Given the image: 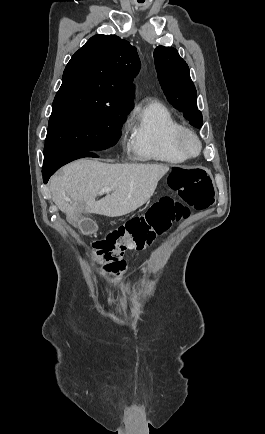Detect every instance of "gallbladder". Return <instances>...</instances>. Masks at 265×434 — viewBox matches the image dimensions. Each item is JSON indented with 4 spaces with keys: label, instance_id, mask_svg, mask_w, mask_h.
<instances>
[{
    "label": "gallbladder",
    "instance_id": "1",
    "mask_svg": "<svg viewBox=\"0 0 265 434\" xmlns=\"http://www.w3.org/2000/svg\"><path fill=\"white\" fill-rule=\"evenodd\" d=\"M79 229L82 232H90V231H94L96 232L97 230V226L96 224H94V220L91 218H85L83 219V217H80L79 220Z\"/></svg>",
    "mask_w": 265,
    "mask_h": 434
}]
</instances>
